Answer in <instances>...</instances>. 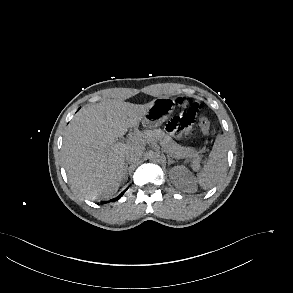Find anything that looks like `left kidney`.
<instances>
[{
  "label": "left kidney",
  "mask_w": 293,
  "mask_h": 293,
  "mask_svg": "<svg viewBox=\"0 0 293 293\" xmlns=\"http://www.w3.org/2000/svg\"><path fill=\"white\" fill-rule=\"evenodd\" d=\"M172 183L180 189L195 191L197 186L191 172L184 166H175L170 171Z\"/></svg>",
  "instance_id": "5707ae66"
}]
</instances>
